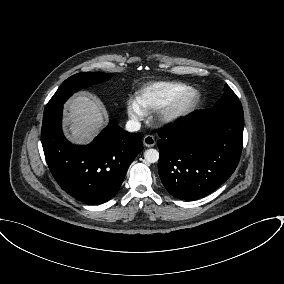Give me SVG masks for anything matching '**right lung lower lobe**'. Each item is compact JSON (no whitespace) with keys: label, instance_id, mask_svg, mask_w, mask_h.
Segmentation results:
<instances>
[{"label":"right lung lower lobe","instance_id":"1","mask_svg":"<svg viewBox=\"0 0 284 284\" xmlns=\"http://www.w3.org/2000/svg\"><path fill=\"white\" fill-rule=\"evenodd\" d=\"M63 105L43 115L41 141L48 167L60 187L90 204L116 195L134 158L142 133H128L114 121L86 146L73 145L62 133Z\"/></svg>","mask_w":284,"mask_h":284}]
</instances>
